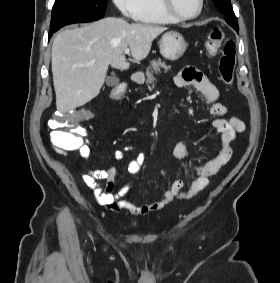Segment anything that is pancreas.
Here are the masks:
<instances>
[{
    "mask_svg": "<svg viewBox=\"0 0 280 283\" xmlns=\"http://www.w3.org/2000/svg\"><path fill=\"white\" fill-rule=\"evenodd\" d=\"M170 68L171 66H167L164 61H161V59L153 60L150 62V66L146 69V84L150 91H152L156 82L154 74L161 73V69L167 72Z\"/></svg>",
    "mask_w": 280,
    "mask_h": 283,
    "instance_id": "obj_1",
    "label": "pancreas"
}]
</instances>
